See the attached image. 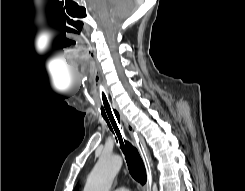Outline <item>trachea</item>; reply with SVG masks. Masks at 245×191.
<instances>
[{"label": "trachea", "mask_w": 245, "mask_h": 191, "mask_svg": "<svg viewBox=\"0 0 245 191\" xmlns=\"http://www.w3.org/2000/svg\"><path fill=\"white\" fill-rule=\"evenodd\" d=\"M99 95L101 100V113L106 121L109 129L115 135L120 148L125 155L129 172L132 178L141 184L147 180L146 169L142 158L140 157L137 149L124 138L122 127L120 126V116L118 111L113 107L108 93L102 81H99Z\"/></svg>", "instance_id": "3493384b"}]
</instances>
